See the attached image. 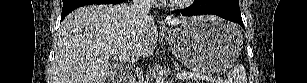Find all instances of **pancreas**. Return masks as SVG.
<instances>
[{
  "mask_svg": "<svg viewBox=\"0 0 307 83\" xmlns=\"http://www.w3.org/2000/svg\"><path fill=\"white\" fill-rule=\"evenodd\" d=\"M188 75H189V73H188ZM187 80H194V81H196V83H200V81H201V79L196 78V77L188 78ZM209 82H210V83H221L222 81L211 80V81H209Z\"/></svg>",
  "mask_w": 307,
  "mask_h": 83,
  "instance_id": "obj_1",
  "label": "pancreas"
}]
</instances>
